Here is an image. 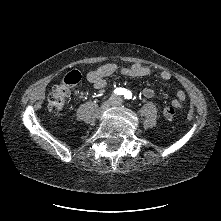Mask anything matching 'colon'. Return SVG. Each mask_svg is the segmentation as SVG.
<instances>
[{"instance_id":"obj_1","label":"colon","mask_w":221,"mask_h":221,"mask_svg":"<svg viewBox=\"0 0 221 221\" xmlns=\"http://www.w3.org/2000/svg\"><path fill=\"white\" fill-rule=\"evenodd\" d=\"M80 81V73L76 70L69 72L63 80L54 86L48 96V108L52 113H58L65 105V102L70 93V87ZM175 108L164 107L162 113L165 118L171 120L175 115Z\"/></svg>"}]
</instances>
